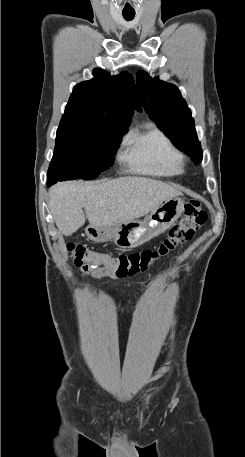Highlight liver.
<instances>
[{"instance_id":"obj_1","label":"liver","mask_w":245,"mask_h":457,"mask_svg":"<svg viewBox=\"0 0 245 457\" xmlns=\"http://www.w3.org/2000/svg\"><path fill=\"white\" fill-rule=\"evenodd\" d=\"M181 194L180 190L154 178L119 176L101 182L67 180L49 190V208L62 235L69 237L85 222L92 226H111L145 216L162 200Z\"/></svg>"}]
</instances>
